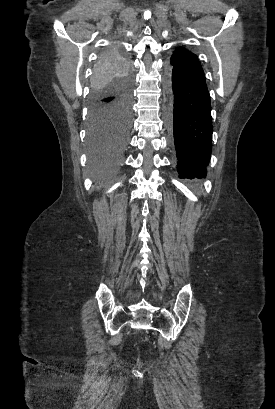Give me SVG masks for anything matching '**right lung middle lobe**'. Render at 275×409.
Masks as SVG:
<instances>
[{
    "instance_id": "obj_1",
    "label": "right lung middle lobe",
    "mask_w": 275,
    "mask_h": 409,
    "mask_svg": "<svg viewBox=\"0 0 275 409\" xmlns=\"http://www.w3.org/2000/svg\"><path fill=\"white\" fill-rule=\"evenodd\" d=\"M132 72L116 44L98 54L91 78L86 167L94 181H119L110 172L128 146L131 127Z\"/></svg>"
}]
</instances>
